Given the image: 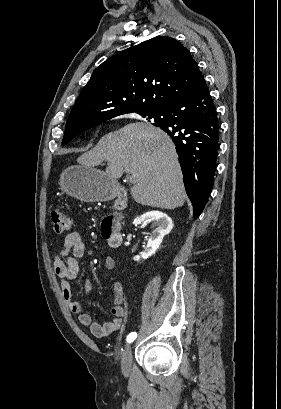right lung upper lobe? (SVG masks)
Returning <instances> with one entry per match:
<instances>
[{"mask_svg":"<svg viewBox=\"0 0 281 409\" xmlns=\"http://www.w3.org/2000/svg\"><path fill=\"white\" fill-rule=\"evenodd\" d=\"M202 77L177 40L157 36L102 63L83 88L66 127H83L108 117L155 112L188 92Z\"/></svg>","mask_w":281,"mask_h":409,"instance_id":"1","label":"right lung upper lobe"}]
</instances>
